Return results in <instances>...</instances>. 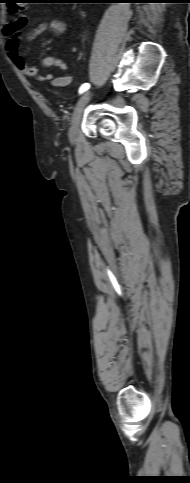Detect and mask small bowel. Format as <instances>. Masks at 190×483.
Instances as JSON below:
<instances>
[{"mask_svg": "<svg viewBox=\"0 0 190 483\" xmlns=\"http://www.w3.org/2000/svg\"><path fill=\"white\" fill-rule=\"evenodd\" d=\"M29 20L26 16L20 15L11 22L5 24L3 28V34L6 37L5 51L11 62L21 70L23 73L33 78L38 82H44L51 80L54 87H65L71 80L70 74H65L59 77H53L51 73L40 75L37 67L29 66L25 62L24 58L19 52V36L18 33L28 27ZM65 30V23L60 20H50L48 22H42L36 27L30 29L26 33L28 39H35L46 31H51L55 35H60ZM40 64L44 67H58L66 71L67 65L60 59L55 57H44L41 59Z\"/></svg>", "mask_w": 190, "mask_h": 483, "instance_id": "obj_1", "label": "small bowel"}]
</instances>
